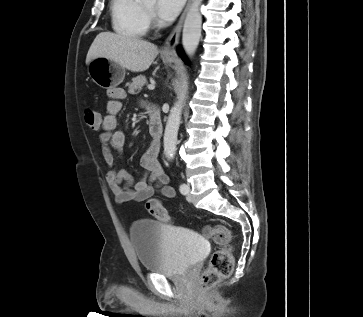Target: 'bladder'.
I'll use <instances>...</instances> for the list:
<instances>
[{"label":"bladder","mask_w":363,"mask_h":317,"mask_svg":"<svg viewBox=\"0 0 363 317\" xmlns=\"http://www.w3.org/2000/svg\"><path fill=\"white\" fill-rule=\"evenodd\" d=\"M130 235L142 269L164 276L184 273L208 253L200 232L154 220L132 224Z\"/></svg>","instance_id":"1"}]
</instances>
